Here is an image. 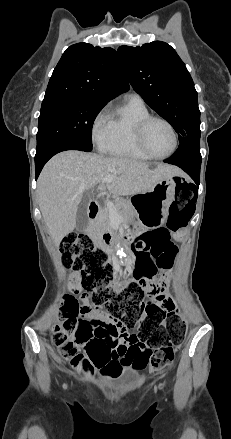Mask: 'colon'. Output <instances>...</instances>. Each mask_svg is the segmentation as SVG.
<instances>
[{
    "label": "colon",
    "instance_id": "1",
    "mask_svg": "<svg viewBox=\"0 0 231 439\" xmlns=\"http://www.w3.org/2000/svg\"><path fill=\"white\" fill-rule=\"evenodd\" d=\"M177 200L170 208L169 228L173 231L184 229L192 217L195 206V190L186 182L175 185ZM141 238V237H139ZM140 240L133 244L134 249ZM62 264L78 273L82 288L90 294L95 306H103L109 316L126 328L138 327V338L153 351L134 352L132 366L145 368L148 364L159 370L170 363L174 347L181 344L185 336V325L174 309L166 310L158 305H147L145 297L149 290L157 289L152 282L156 269L172 267L175 250L162 254L155 266L138 263L132 277L118 286L113 265L107 252L97 246L87 234H70L60 245ZM119 287V289H118ZM78 293V292H76ZM79 305L73 295H65L62 307V321L55 327L53 342L60 354L71 360L73 366L93 363L105 373L116 377L127 361L103 344H92L90 330L78 321ZM87 342L88 358L78 354L81 344Z\"/></svg>",
    "mask_w": 231,
    "mask_h": 439
}]
</instances>
